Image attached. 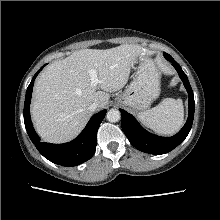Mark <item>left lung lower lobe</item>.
<instances>
[{
  "label": "left lung lower lobe",
  "mask_w": 220,
  "mask_h": 220,
  "mask_svg": "<svg viewBox=\"0 0 220 220\" xmlns=\"http://www.w3.org/2000/svg\"><path fill=\"white\" fill-rule=\"evenodd\" d=\"M163 54L167 60L172 62L189 94V115L183 128L172 137H159L144 130L132 115L120 109L122 129L130 143L142 152L155 155L168 153L183 142L191 130L194 118V95L188 78L180 65L169 54Z\"/></svg>",
  "instance_id": "left-lung-lower-lobe-1"
}]
</instances>
